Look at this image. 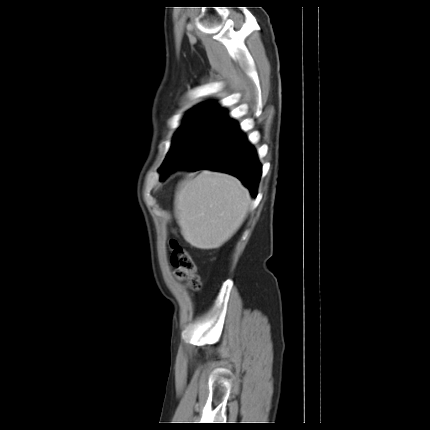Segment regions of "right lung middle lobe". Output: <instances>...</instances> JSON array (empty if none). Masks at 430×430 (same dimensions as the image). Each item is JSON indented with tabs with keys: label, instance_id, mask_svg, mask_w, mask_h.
Returning <instances> with one entry per match:
<instances>
[{
	"label": "right lung middle lobe",
	"instance_id": "right-lung-middle-lobe-1",
	"mask_svg": "<svg viewBox=\"0 0 430 430\" xmlns=\"http://www.w3.org/2000/svg\"><path fill=\"white\" fill-rule=\"evenodd\" d=\"M236 126L235 121L226 119L223 109L210 106L192 111L175 136L172 148L160 169L161 179L195 158Z\"/></svg>",
	"mask_w": 430,
	"mask_h": 430
}]
</instances>
